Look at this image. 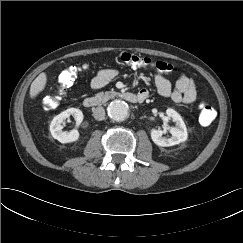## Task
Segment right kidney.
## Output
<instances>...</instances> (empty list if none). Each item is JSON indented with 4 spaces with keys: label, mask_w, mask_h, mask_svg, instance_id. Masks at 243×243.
<instances>
[{
    "label": "right kidney",
    "mask_w": 243,
    "mask_h": 243,
    "mask_svg": "<svg viewBox=\"0 0 243 243\" xmlns=\"http://www.w3.org/2000/svg\"><path fill=\"white\" fill-rule=\"evenodd\" d=\"M74 116L76 120L77 126L83 120V113L80 109L77 108H69L59 115L55 116L50 124V132L53 138L57 139L61 143H71L75 142L79 139V132L77 129H73L71 131H62L63 126L61 125L64 120H66L70 116Z\"/></svg>",
    "instance_id": "obj_1"
}]
</instances>
